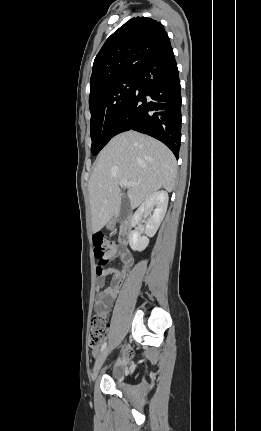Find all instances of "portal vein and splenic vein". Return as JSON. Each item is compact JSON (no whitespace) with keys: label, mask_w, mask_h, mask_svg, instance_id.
I'll return each instance as SVG.
<instances>
[{"label":"portal vein and splenic vein","mask_w":261,"mask_h":431,"mask_svg":"<svg viewBox=\"0 0 261 431\" xmlns=\"http://www.w3.org/2000/svg\"><path fill=\"white\" fill-rule=\"evenodd\" d=\"M120 185L123 186V187L129 188V187H134L137 184L133 183V182H130V181L126 180V179H122V180H120Z\"/></svg>","instance_id":"obj_1"}]
</instances>
